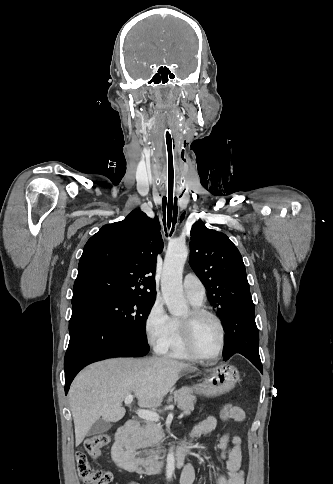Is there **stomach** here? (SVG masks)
<instances>
[{
	"label": "stomach",
	"instance_id": "0dacf381",
	"mask_svg": "<svg viewBox=\"0 0 333 484\" xmlns=\"http://www.w3.org/2000/svg\"><path fill=\"white\" fill-rule=\"evenodd\" d=\"M238 381L239 372L237 368L228 363H223L204 374L203 382L195 385L193 390L209 397H219L230 392Z\"/></svg>",
	"mask_w": 333,
	"mask_h": 484
}]
</instances>
